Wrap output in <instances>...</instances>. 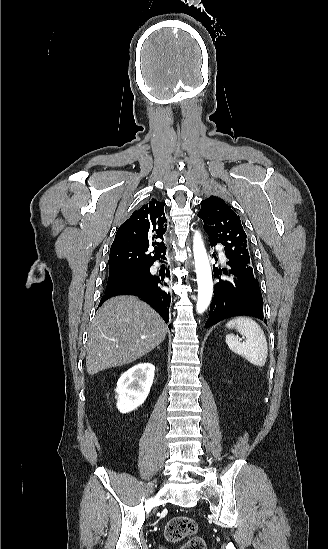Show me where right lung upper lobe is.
<instances>
[{
	"label": "right lung upper lobe",
	"instance_id": "1",
	"mask_svg": "<svg viewBox=\"0 0 328 549\" xmlns=\"http://www.w3.org/2000/svg\"><path fill=\"white\" fill-rule=\"evenodd\" d=\"M164 202L152 198L133 212L118 229L109 256V274L134 269H149L153 263L166 254L163 240L167 220ZM155 246L154 256L147 254Z\"/></svg>",
	"mask_w": 328,
	"mask_h": 549
}]
</instances>
